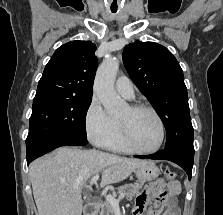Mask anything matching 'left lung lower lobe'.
Segmentation results:
<instances>
[{
  "mask_svg": "<svg viewBox=\"0 0 223 215\" xmlns=\"http://www.w3.org/2000/svg\"><path fill=\"white\" fill-rule=\"evenodd\" d=\"M136 158H147L155 160H168L181 166L187 173L189 180L192 176V167L194 159V148L172 147L152 155L135 156Z\"/></svg>",
  "mask_w": 223,
  "mask_h": 215,
  "instance_id": "left-lung-lower-lobe-1",
  "label": "left lung lower lobe"
}]
</instances>
